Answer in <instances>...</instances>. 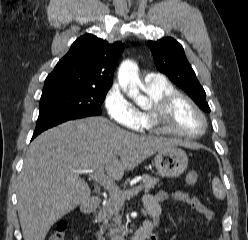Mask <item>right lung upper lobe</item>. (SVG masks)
Segmentation results:
<instances>
[{"instance_id":"right-lung-upper-lobe-1","label":"right lung upper lobe","mask_w":248,"mask_h":240,"mask_svg":"<svg viewBox=\"0 0 248 240\" xmlns=\"http://www.w3.org/2000/svg\"><path fill=\"white\" fill-rule=\"evenodd\" d=\"M123 48L119 41L109 44L92 34L81 36L47 76L43 92L59 88L109 90Z\"/></svg>"}]
</instances>
